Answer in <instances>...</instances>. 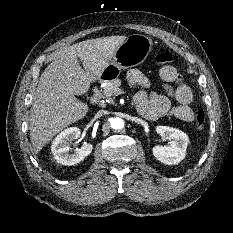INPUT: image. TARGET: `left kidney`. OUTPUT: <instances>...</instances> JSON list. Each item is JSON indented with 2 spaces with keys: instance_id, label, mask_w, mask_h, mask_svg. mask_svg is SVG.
Instances as JSON below:
<instances>
[{
  "instance_id": "5707ae66",
  "label": "left kidney",
  "mask_w": 233,
  "mask_h": 233,
  "mask_svg": "<svg viewBox=\"0 0 233 233\" xmlns=\"http://www.w3.org/2000/svg\"><path fill=\"white\" fill-rule=\"evenodd\" d=\"M156 132L171 141L168 145H156L153 147L152 152L155 158L168 165H175L181 162L185 158L189 142L187 134L179 129L168 126H157Z\"/></svg>"
}]
</instances>
